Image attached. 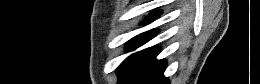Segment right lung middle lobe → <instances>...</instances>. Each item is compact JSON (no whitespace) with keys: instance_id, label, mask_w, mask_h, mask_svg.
Returning <instances> with one entry per match:
<instances>
[{"instance_id":"dd1d6c3e","label":"right lung middle lobe","mask_w":260,"mask_h":84,"mask_svg":"<svg viewBox=\"0 0 260 84\" xmlns=\"http://www.w3.org/2000/svg\"><path fill=\"white\" fill-rule=\"evenodd\" d=\"M157 32L158 30H150L134 37L129 41L128 49L139 47L156 35ZM158 53L159 47L154 46L128 57L118 68L120 83L132 84L140 78V76L156 62L155 57Z\"/></svg>"}]
</instances>
